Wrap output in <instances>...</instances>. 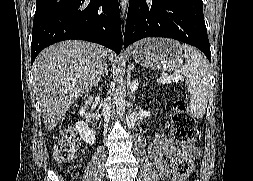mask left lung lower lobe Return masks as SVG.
Returning a JSON list of instances; mask_svg holds the SVG:
<instances>
[{
	"instance_id": "1",
	"label": "left lung lower lobe",
	"mask_w": 253,
	"mask_h": 181,
	"mask_svg": "<svg viewBox=\"0 0 253 181\" xmlns=\"http://www.w3.org/2000/svg\"><path fill=\"white\" fill-rule=\"evenodd\" d=\"M146 37L185 42L211 61L202 0H130L124 46Z\"/></svg>"
}]
</instances>
